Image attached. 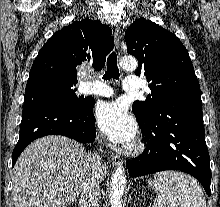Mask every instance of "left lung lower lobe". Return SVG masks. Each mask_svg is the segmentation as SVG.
I'll use <instances>...</instances> for the list:
<instances>
[{
  "label": "left lung lower lobe",
  "mask_w": 220,
  "mask_h": 207,
  "mask_svg": "<svg viewBox=\"0 0 220 207\" xmlns=\"http://www.w3.org/2000/svg\"><path fill=\"white\" fill-rule=\"evenodd\" d=\"M140 127L147 147L139 157L126 162L131 177L180 170L198 179L210 196V157L201 100L178 102Z\"/></svg>",
  "instance_id": "left-lung-lower-lobe-1"
}]
</instances>
